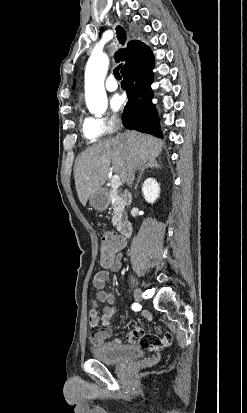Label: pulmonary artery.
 Here are the masks:
<instances>
[{
    "instance_id": "e3ab8cb5",
    "label": "pulmonary artery",
    "mask_w": 247,
    "mask_h": 413,
    "mask_svg": "<svg viewBox=\"0 0 247 413\" xmlns=\"http://www.w3.org/2000/svg\"><path fill=\"white\" fill-rule=\"evenodd\" d=\"M105 88L109 92H114L118 89V82L113 76L106 79Z\"/></svg>"
}]
</instances>
